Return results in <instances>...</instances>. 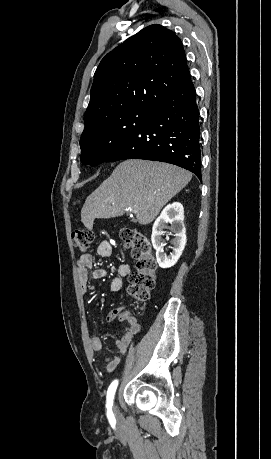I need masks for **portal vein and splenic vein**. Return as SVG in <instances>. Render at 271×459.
<instances>
[{
    "label": "portal vein and splenic vein",
    "instance_id": "obj_1",
    "mask_svg": "<svg viewBox=\"0 0 271 459\" xmlns=\"http://www.w3.org/2000/svg\"><path fill=\"white\" fill-rule=\"evenodd\" d=\"M127 212H133V210H131V208H127Z\"/></svg>",
    "mask_w": 271,
    "mask_h": 459
}]
</instances>
